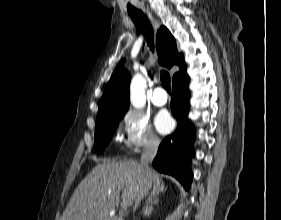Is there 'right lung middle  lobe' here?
I'll list each match as a JSON object with an SVG mask.
<instances>
[{
	"label": "right lung middle lobe",
	"instance_id": "obj_1",
	"mask_svg": "<svg viewBox=\"0 0 281 220\" xmlns=\"http://www.w3.org/2000/svg\"><path fill=\"white\" fill-rule=\"evenodd\" d=\"M123 116L124 114L111 116L96 122L94 146L97 153H102L104 151L106 143L110 140Z\"/></svg>",
	"mask_w": 281,
	"mask_h": 220
}]
</instances>
